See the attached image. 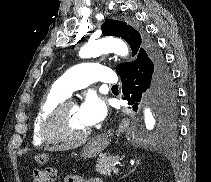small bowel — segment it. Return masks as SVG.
<instances>
[{"label":"small bowel","instance_id":"obj_1","mask_svg":"<svg viewBox=\"0 0 211 182\" xmlns=\"http://www.w3.org/2000/svg\"><path fill=\"white\" fill-rule=\"evenodd\" d=\"M65 182H102L101 179L99 178H95V179H92V180H89V181H85L82 177L80 176H68L66 179H65Z\"/></svg>","mask_w":211,"mask_h":182}]
</instances>
